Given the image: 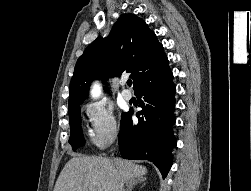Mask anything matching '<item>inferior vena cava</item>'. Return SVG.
Wrapping results in <instances>:
<instances>
[{
  "label": "inferior vena cava",
  "mask_w": 251,
  "mask_h": 191,
  "mask_svg": "<svg viewBox=\"0 0 251 191\" xmlns=\"http://www.w3.org/2000/svg\"><path fill=\"white\" fill-rule=\"evenodd\" d=\"M118 191H123V183H120V187H119Z\"/></svg>",
  "instance_id": "1"
}]
</instances>
